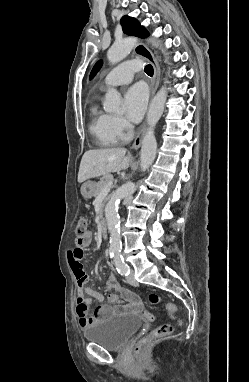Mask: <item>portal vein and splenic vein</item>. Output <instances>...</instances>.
<instances>
[{
    "mask_svg": "<svg viewBox=\"0 0 249 382\" xmlns=\"http://www.w3.org/2000/svg\"><path fill=\"white\" fill-rule=\"evenodd\" d=\"M112 185H113V181L108 182V184L105 186V188L102 191L109 192Z\"/></svg>",
    "mask_w": 249,
    "mask_h": 382,
    "instance_id": "18ae733b",
    "label": "portal vein and splenic vein"
}]
</instances>
